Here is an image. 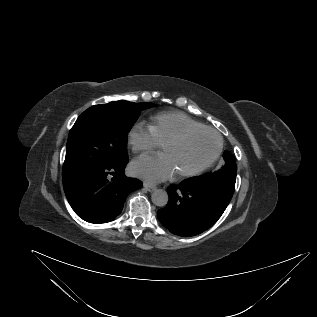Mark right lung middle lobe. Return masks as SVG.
I'll use <instances>...</instances> for the list:
<instances>
[{
  "label": "right lung middle lobe",
  "instance_id": "right-lung-middle-lobe-1",
  "mask_svg": "<svg viewBox=\"0 0 317 317\" xmlns=\"http://www.w3.org/2000/svg\"><path fill=\"white\" fill-rule=\"evenodd\" d=\"M153 106L120 100L84 111L69 133L63 176L128 158L127 134L138 119L139 111Z\"/></svg>",
  "mask_w": 317,
  "mask_h": 317
}]
</instances>
